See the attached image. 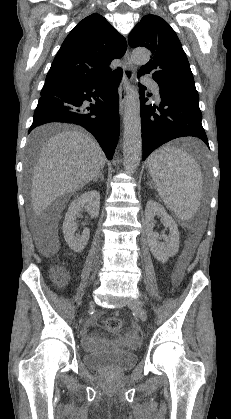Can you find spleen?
<instances>
[{
    "label": "spleen",
    "instance_id": "spleen-1",
    "mask_svg": "<svg viewBox=\"0 0 231 419\" xmlns=\"http://www.w3.org/2000/svg\"><path fill=\"white\" fill-rule=\"evenodd\" d=\"M148 170L165 206L182 220L193 218L203 188L197 162L180 148L163 146L150 155Z\"/></svg>",
    "mask_w": 231,
    "mask_h": 419
}]
</instances>
